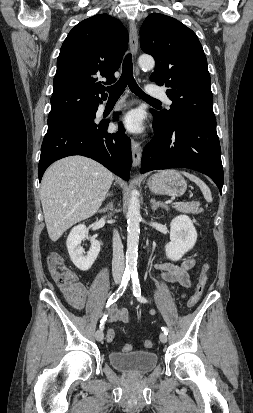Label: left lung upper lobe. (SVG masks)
<instances>
[{"label": "left lung upper lobe", "instance_id": "1", "mask_svg": "<svg viewBox=\"0 0 253 413\" xmlns=\"http://www.w3.org/2000/svg\"><path fill=\"white\" fill-rule=\"evenodd\" d=\"M141 49L156 60L150 80L168 87L170 110L156 113L166 127L186 120L216 126L207 59L196 34L178 20L150 14L140 29Z\"/></svg>", "mask_w": 253, "mask_h": 413}]
</instances>
